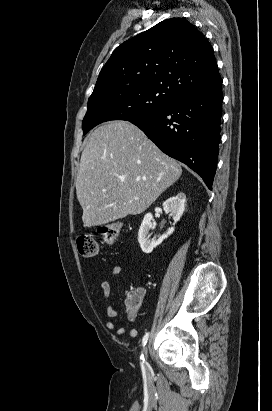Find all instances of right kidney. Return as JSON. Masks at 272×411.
Returning <instances> with one entry per match:
<instances>
[{
  "mask_svg": "<svg viewBox=\"0 0 272 411\" xmlns=\"http://www.w3.org/2000/svg\"><path fill=\"white\" fill-rule=\"evenodd\" d=\"M185 203V194L178 193L176 196L167 199L163 203V210L173 218L175 223H177L185 210ZM152 218V214L147 213L143 218L138 232V242L140 247L142 251L147 254L151 253L156 246H158L164 239L168 238L174 232V227H171L159 239H149V231L153 228Z\"/></svg>",
  "mask_w": 272,
  "mask_h": 411,
  "instance_id": "ca27d5eb",
  "label": "right kidney"
}]
</instances>
